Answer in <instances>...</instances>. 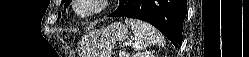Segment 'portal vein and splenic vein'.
Masks as SVG:
<instances>
[{"label":"portal vein and splenic vein","mask_w":249,"mask_h":57,"mask_svg":"<svg viewBox=\"0 0 249 57\" xmlns=\"http://www.w3.org/2000/svg\"><path fill=\"white\" fill-rule=\"evenodd\" d=\"M130 43H131V42H130ZM127 45H129V44H127ZM119 56H120V57H125V56H126V53H125V52H120V53H119Z\"/></svg>","instance_id":"18ae733b"}]
</instances>
